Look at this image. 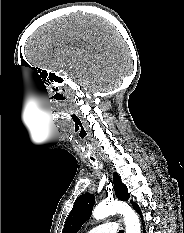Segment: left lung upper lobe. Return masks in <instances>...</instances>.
Listing matches in <instances>:
<instances>
[{"label": "left lung upper lobe", "instance_id": "obj_1", "mask_svg": "<svg viewBox=\"0 0 184 233\" xmlns=\"http://www.w3.org/2000/svg\"><path fill=\"white\" fill-rule=\"evenodd\" d=\"M115 195L122 201L129 200V194L125 185L121 182L120 176L115 172L113 174ZM133 204L134 202L131 201ZM95 205V197L93 194L86 193L80 195L68 215L62 233H77L91 215Z\"/></svg>", "mask_w": 184, "mask_h": 233}]
</instances>
